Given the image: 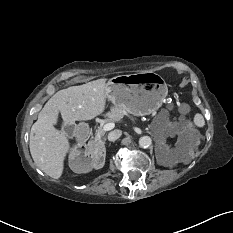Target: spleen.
<instances>
[{"label": "spleen", "instance_id": "obj_1", "mask_svg": "<svg viewBox=\"0 0 233 233\" xmlns=\"http://www.w3.org/2000/svg\"><path fill=\"white\" fill-rule=\"evenodd\" d=\"M194 124L198 127H203L205 124L204 118L201 114H196L194 117Z\"/></svg>", "mask_w": 233, "mask_h": 233}]
</instances>
